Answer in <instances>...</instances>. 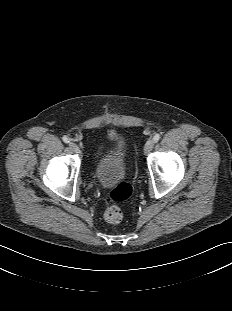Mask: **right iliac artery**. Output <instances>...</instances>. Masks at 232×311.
<instances>
[{"instance_id": "right-iliac-artery-1", "label": "right iliac artery", "mask_w": 232, "mask_h": 311, "mask_svg": "<svg viewBox=\"0 0 232 311\" xmlns=\"http://www.w3.org/2000/svg\"><path fill=\"white\" fill-rule=\"evenodd\" d=\"M63 141L65 142V143H69V138L67 137V136H63Z\"/></svg>"}]
</instances>
